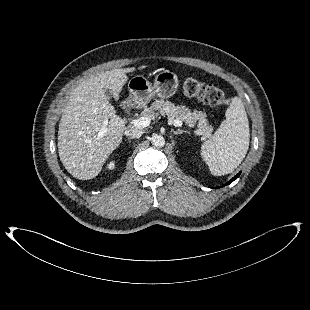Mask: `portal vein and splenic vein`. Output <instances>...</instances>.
<instances>
[{
    "label": "portal vein and splenic vein",
    "instance_id": "obj_1",
    "mask_svg": "<svg viewBox=\"0 0 310 310\" xmlns=\"http://www.w3.org/2000/svg\"><path fill=\"white\" fill-rule=\"evenodd\" d=\"M150 121L151 119L149 117H141V118H138V119H134L132 121V125L136 128H144V127H147L150 125ZM173 125L176 126V127H181L182 126V121L180 120H174L173 121ZM106 133V128H102L100 130V132L98 133L97 137L98 138H101L105 135Z\"/></svg>",
    "mask_w": 310,
    "mask_h": 310
}]
</instances>
